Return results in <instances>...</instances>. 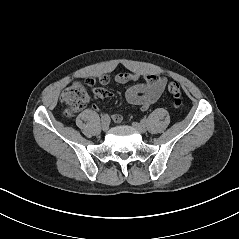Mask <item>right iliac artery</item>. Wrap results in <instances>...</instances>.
Here are the masks:
<instances>
[{"instance_id": "right-iliac-artery-1", "label": "right iliac artery", "mask_w": 239, "mask_h": 239, "mask_svg": "<svg viewBox=\"0 0 239 239\" xmlns=\"http://www.w3.org/2000/svg\"><path fill=\"white\" fill-rule=\"evenodd\" d=\"M110 120V117L108 114H104L101 116V121L102 122H108Z\"/></svg>"}]
</instances>
